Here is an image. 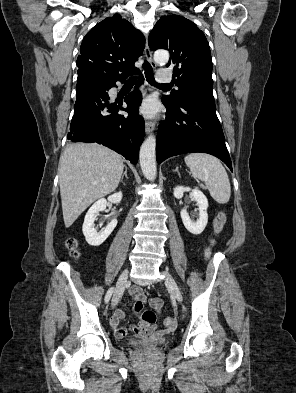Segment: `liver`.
<instances>
[{
	"label": "liver",
	"mask_w": 296,
	"mask_h": 393,
	"mask_svg": "<svg viewBox=\"0 0 296 393\" xmlns=\"http://www.w3.org/2000/svg\"><path fill=\"white\" fill-rule=\"evenodd\" d=\"M124 164L122 157L96 143L66 147L58 166L64 224L68 228L94 201L118 187Z\"/></svg>",
	"instance_id": "1"
}]
</instances>
